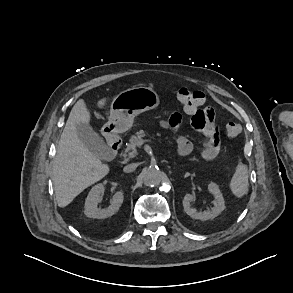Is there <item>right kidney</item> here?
Returning <instances> with one entry per match:
<instances>
[{
  "label": "right kidney",
  "mask_w": 293,
  "mask_h": 293,
  "mask_svg": "<svg viewBox=\"0 0 293 293\" xmlns=\"http://www.w3.org/2000/svg\"><path fill=\"white\" fill-rule=\"evenodd\" d=\"M103 184L95 185L89 192L85 201L84 214L90 218L104 219L114 215L123 203V193L122 191H117L110 202L108 208L100 209L98 208V203L100 201V195L104 193Z\"/></svg>",
  "instance_id": "right-kidney-1"
}]
</instances>
